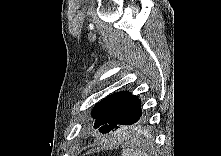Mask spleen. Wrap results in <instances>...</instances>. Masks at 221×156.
I'll return each mask as SVG.
<instances>
[{
  "label": "spleen",
  "mask_w": 221,
  "mask_h": 156,
  "mask_svg": "<svg viewBox=\"0 0 221 156\" xmlns=\"http://www.w3.org/2000/svg\"><path fill=\"white\" fill-rule=\"evenodd\" d=\"M141 155L146 156V154L142 152H137V151L132 152L130 150H124L122 153V156H141Z\"/></svg>",
  "instance_id": "1"
}]
</instances>
